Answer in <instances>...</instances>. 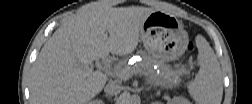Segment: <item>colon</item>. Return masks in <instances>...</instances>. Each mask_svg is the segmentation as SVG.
Returning a JSON list of instances; mask_svg holds the SVG:
<instances>
[{
  "label": "colon",
  "mask_w": 252,
  "mask_h": 104,
  "mask_svg": "<svg viewBox=\"0 0 252 104\" xmlns=\"http://www.w3.org/2000/svg\"><path fill=\"white\" fill-rule=\"evenodd\" d=\"M194 48H195L194 42H193V41H189V42L187 43V45H186V50H187L188 52H192V51L194 50Z\"/></svg>",
  "instance_id": "obj_1"
}]
</instances>
